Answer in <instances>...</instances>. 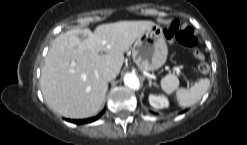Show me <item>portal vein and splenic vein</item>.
<instances>
[{"label": "portal vein and splenic vein", "mask_w": 247, "mask_h": 145, "mask_svg": "<svg viewBox=\"0 0 247 145\" xmlns=\"http://www.w3.org/2000/svg\"><path fill=\"white\" fill-rule=\"evenodd\" d=\"M174 70H175L176 72H179V69H178L177 67H175Z\"/></svg>", "instance_id": "18ae733b"}]
</instances>
